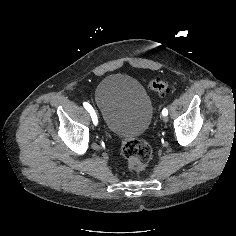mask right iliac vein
<instances>
[{
	"label": "right iliac vein",
	"instance_id": "63e3f726",
	"mask_svg": "<svg viewBox=\"0 0 236 236\" xmlns=\"http://www.w3.org/2000/svg\"><path fill=\"white\" fill-rule=\"evenodd\" d=\"M94 110H96V112H97L98 119H101V116H100V114L98 113L97 109H94Z\"/></svg>",
	"mask_w": 236,
	"mask_h": 236
}]
</instances>
